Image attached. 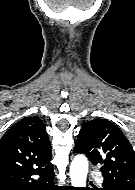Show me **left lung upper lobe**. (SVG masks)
I'll use <instances>...</instances> for the list:
<instances>
[{
	"label": "left lung upper lobe",
	"mask_w": 135,
	"mask_h": 190,
	"mask_svg": "<svg viewBox=\"0 0 135 190\" xmlns=\"http://www.w3.org/2000/svg\"><path fill=\"white\" fill-rule=\"evenodd\" d=\"M74 151L86 154L93 165H101L104 189L135 190V152L112 122H87L78 134Z\"/></svg>",
	"instance_id": "obj_1"
}]
</instances>
